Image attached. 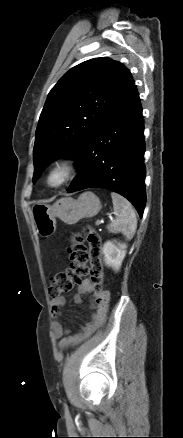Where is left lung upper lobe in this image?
<instances>
[{
	"label": "left lung upper lobe",
	"mask_w": 183,
	"mask_h": 438,
	"mask_svg": "<svg viewBox=\"0 0 183 438\" xmlns=\"http://www.w3.org/2000/svg\"><path fill=\"white\" fill-rule=\"evenodd\" d=\"M134 86L130 71L105 57L85 61L66 72L49 92L40 115L33 181L54 159H75L88 137Z\"/></svg>",
	"instance_id": "obj_1"
}]
</instances>
